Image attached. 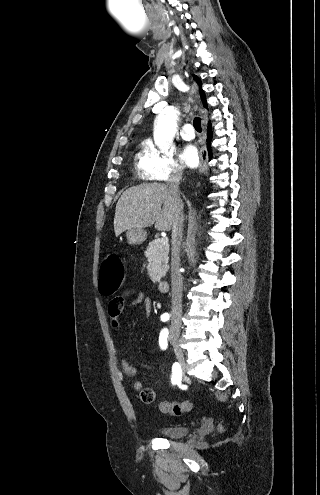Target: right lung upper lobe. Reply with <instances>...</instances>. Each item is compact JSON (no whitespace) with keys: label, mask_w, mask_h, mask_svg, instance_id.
<instances>
[{"label":"right lung upper lobe","mask_w":320,"mask_h":495,"mask_svg":"<svg viewBox=\"0 0 320 495\" xmlns=\"http://www.w3.org/2000/svg\"><path fill=\"white\" fill-rule=\"evenodd\" d=\"M193 78L196 81V83L199 85L201 100L203 102L204 107L207 108V102H206L205 92L201 89V86H202L201 79L198 76H196V75H193Z\"/></svg>","instance_id":"cb5924a9"}]
</instances>
